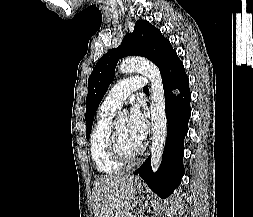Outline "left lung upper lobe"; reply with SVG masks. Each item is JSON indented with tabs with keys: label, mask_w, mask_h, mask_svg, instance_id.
<instances>
[{
	"label": "left lung upper lobe",
	"mask_w": 253,
	"mask_h": 217,
	"mask_svg": "<svg viewBox=\"0 0 253 217\" xmlns=\"http://www.w3.org/2000/svg\"><path fill=\"white\" fill-rule=\"evenodd\" d=\"M128 55L143 56L154 62L160 72L175 56L176 51L170 41L164 38L159 29L149 22L138 20L132 33H127L121 45L108 51L97 62L88 80L86 98V137L89 138L96 110L114 78L120 58Z\"/></svg>",
	"instance_id": "left-lung-upper-lobe-1"
}]
</instances>
